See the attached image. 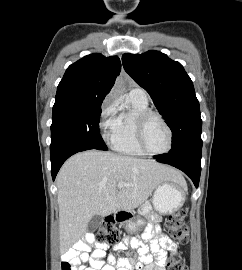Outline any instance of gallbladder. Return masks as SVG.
<instances>
[{"label":"gallbladder","instance_id":"gallbladder-1","mask_svg":"<svg viewBox=\"0 0 242 270\" xmlns=\"http://www.w3.org/2000/svg\"><path fill=\"white\" fill-rule=\"evenodd\" d=\"M102 221H103V217L102 216H100V215H94L91 218V220H90V222L88 224V227H87L88 231L92 232L95 229H97L101 225Z\"/></svg>","mask_w":242,"mask_h":270}]
</instances>
